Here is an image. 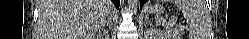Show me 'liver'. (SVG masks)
Wrapping results in <instances>:
<instances>
[{
  "instance_id": "obj_1",
  "label": "liver",
  "mask_w": 249,
  "mask_h": 39,
  "mask_svg": "<svg viewBox=\"0 0 249 39\" xmlns=\"http://www.w3.org/2000/svg\"><path fill=\"white\" fill-rule=\"evenodd\" d=\"M111 10L110 0H40L41 39H92Z\"/></svg>"
}]
</instances>
